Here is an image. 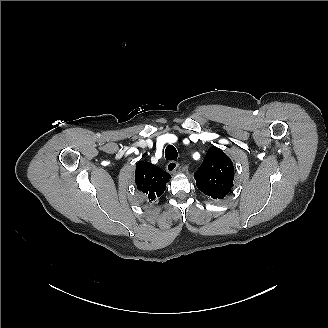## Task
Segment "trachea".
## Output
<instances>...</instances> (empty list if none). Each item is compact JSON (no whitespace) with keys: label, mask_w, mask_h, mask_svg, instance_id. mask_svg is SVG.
<instances>
[{"label":"trachea","mask_w":328,"mask_h":328,"mask_svg":"<svg viewBox=\"0 0 328 328\" xmlns=\"http://www.w3.org/2000/svg\"><path fill=\"white\" fill-rule=\"evenodd\" d=\"M178 157V152L176 150V148L174 146H172L171 144H168L166 149H165V158L167 160H175Z\"/></svg>","instance_id":"trachea-1"}]
</instances>
